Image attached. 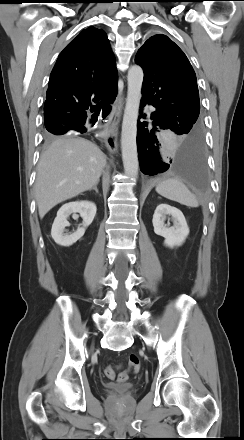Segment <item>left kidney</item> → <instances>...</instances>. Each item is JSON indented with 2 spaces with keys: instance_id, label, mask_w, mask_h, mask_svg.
Listing matches in <instances>:
<instances>
[{
  "instance_id": "left-kidney-1",
  "label": "left kidney",
  "mask_w": 244,
  "mask_h": 440,
  "mask_svg": "<svg viewBox=\"0 0 244 440\" xmlns=\"http://www.w3.org/2000/svg\"><path fill=\"white\" fill-rule=\"evenodd\" d=\"M168 215L173 219L172 227H167L164 223ZM152 223L155 234L164 237V244L170 248L181 246L189 234V227L183 213L167 204H160L156 207Z\"/></svg>"
}]
</instances>
